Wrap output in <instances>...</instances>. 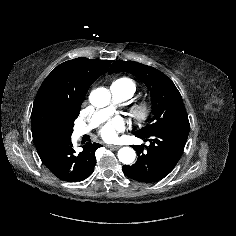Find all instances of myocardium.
<instances>
[{
    "mask_svg": "<svg viewBox=\"0 0 236 236\" xmlns=\"http://www.w3.org/2000/svg\"><path fill=\"white\" fill-rule=\"evenodd\" d=\"M151 113V104L146 100L134 101L129 107V114L136 123L147 120Z\"/></svg>",
    "mask_w": 236,
    "mask_h": 236,
    "instance_id": "1",
    "label": "myocardium"
}]
</instances>
